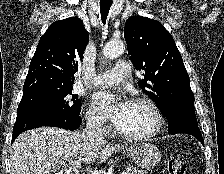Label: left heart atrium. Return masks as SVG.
Wrapping results in <instances>:
<instances>
[{"instance_id":"1","label":"left heart atrium","mask_w":224,"mask_h":174,"mask_svg":"<svg viewBox=\"0 0 224 174\" xmlns=\"http://www.w3.org/2000/svg\"><path fill=\"white\" fill-rule=\"evenodd\" d=\"M95 99L105 115L119 127L128 111L130 102L127 100L116 101L115 95L108 92L96 94Z\"/></svg>"}]
</instances>
